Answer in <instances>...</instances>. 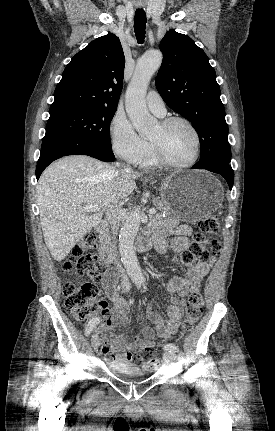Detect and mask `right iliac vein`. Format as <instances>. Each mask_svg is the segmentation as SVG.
I'll use <instances>...</instances> for the list:
<instances>
[{
  "label": "right iliac vein",
  "instance_id": "63e3f726",
  "mask_svg": "<svg viewBox=\"0 0 275 431\" xmlns=\"http://www.w3.org/2000/svg\"><path fill=\"white\" fill-rule=\"evenodd\" d=\"M91 341H92L93 348L96 350L100 345L99 337L96 334H94L92 335Z\"/></svg>",
  "mask_w": 275,
  "mask_h": 431
}]
</instances>
